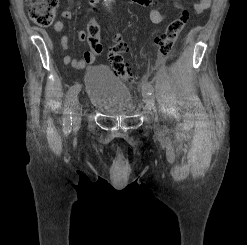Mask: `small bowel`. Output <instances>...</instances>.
I'll use <instances>...</instances> for the list:
<instances>
[{"mask_svg": "<svg viewBox=\"0 0 247 245\" xmlns=\"http://www.w3.org/2000/svg\"><path fill=\"white\" fill-rule=\"evenodd\" d=\"M67 1H68V7L62 12L61 15L64 19L70 20L73 18V12H72L73 0H67ZM89 1H90L91 10H94L98 2H95L94 0H89ZM134 1L142 6H153L156 0H134ZM172 1L174 2V6L177 9H182V6L178 2L174 0ZM211 4H212V0H198V2L194 6V12L196 14H200L206 9H208L211 6ZM166 16H167L166 12H163L158 9H153L150 12V19L155 24L162 23L166 19ZM53 27L54 30L58 33H62L65 29V25L61 20L56 21ZM77 37L80 41H84L86 39V34L83 31H80L78 32ZM60 43L63 50L66 52V54L63 57V62L66 65H70L75 69H83L86 65L92 64L96 59V55L93 51H86L82 59L72 58L67 53L69 49V37L67 35L61 36Z\"/></svg>", "mask_w": 247, "mask_h": 245, "instance_id": "1", "label": "small bowel"}]
</instances>
